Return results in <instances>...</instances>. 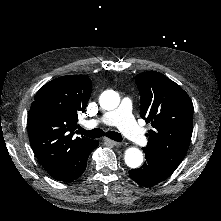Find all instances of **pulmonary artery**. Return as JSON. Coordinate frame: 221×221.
<instances>
[{
    "mask_svg": "<svg viewBox=\"0 0 221 221\" xmlns=\"http://www.w3.org/2000/svg\"><path fill=\"white\" fill-rule=\"evenodd\" d=\"M134 107L130 101L124 100L118 104L117 110L113 109L107 113L106 119L110 125L120 128L133 144L139 145L145 141L144 128L138 125L132 116Z\"/></svg>",
    "mask_w": 221,
    "mask_h": 221,
    "instance_id": "1",
    "label": "pulmonary artery"
}]
</instances>
